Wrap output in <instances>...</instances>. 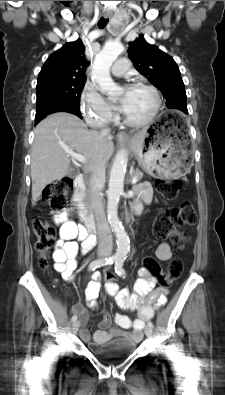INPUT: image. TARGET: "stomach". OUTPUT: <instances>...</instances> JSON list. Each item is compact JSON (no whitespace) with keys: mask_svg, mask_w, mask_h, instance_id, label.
Wrapping results in <instances>:
<instances>
[{"mask_svg":"<svg viewBox=\"0 0 225 395\" xmlns=\"http://www.w3.org/2000/svg\"><path fill=\"white\" fill-rule=\"evenodd\" d=\"M129 144L141 168L152 175L175 179L189 168L188 142L168 113L137 132Z\"/></svg>","mask_w":225,"mask_h":395,"instance_id":"1","label":"stomach"}]
</instances>
